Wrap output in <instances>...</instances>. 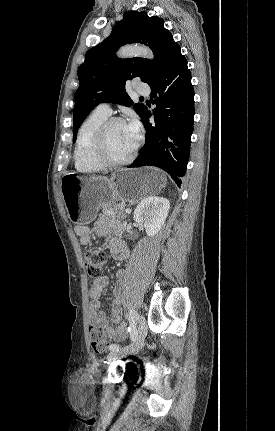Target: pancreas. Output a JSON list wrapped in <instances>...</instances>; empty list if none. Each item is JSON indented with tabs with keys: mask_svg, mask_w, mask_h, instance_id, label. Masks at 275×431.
I'll use <instances>...</instances> for the list:
<instances>
[{
	"mask_svg": "<svg viewBox=\"0 0 275 431\" xmlns=\"http://www.w3.org/2000/svg\"><path fill=\"white\" fill-rule=\"evenodd\" d=\"M102 212L106 215H113L116 218L125 219L127 217V213L124 211V205L122 203L113 202V203H102L101 204Z\"/></svg>",
	"mask_w": 275,
	"mask_h": 431,
	"instance_id": "obj_1",
	"label": "pancreas"
}]
</instances>
